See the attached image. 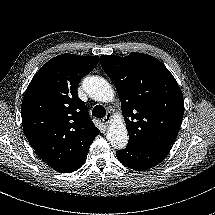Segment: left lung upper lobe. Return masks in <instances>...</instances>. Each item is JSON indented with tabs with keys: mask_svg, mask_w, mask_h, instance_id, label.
<instances>
[{
	"mask_svg": "<svg viewBox=\"0 0 215 215\" xmlns=\"http://www.w3.org/2000/svg\"><path fill=\"white\" fill-rule=\"evenodd\" d=\"M100 64L121 100L128 145L172 146L184 114L181 89L158 59L143 53L100 56Z\"/></svg>",
	"mask_w": 215,
	"mask_h": 215,
	"instance_id": "left-lung-upper-lobe-1",
	"label": "left lung upper lobe"
}]
</instances>
